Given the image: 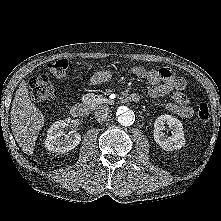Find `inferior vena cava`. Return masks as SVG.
<instances>
[{
    "mask_svg": "<svg viewBox=\"0 0 221 221\" xmlns=\"http://www.w3.org/2000/svg\"><path fill=\"white\" fill-rule=\"evenodd\" d=\"M94 114L97 121L101 123L109 121L112 116L111 110L107 106H98Z\"/></svg>",
    "mask_w": 221,
    "mask_h": 221,
    "instance_id": "1",
    "label": "inferior vena cava"
}]
</instances>
